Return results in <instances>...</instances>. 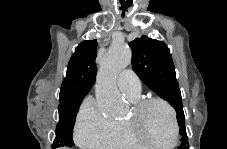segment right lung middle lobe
Segmentation results:
<instances>
[{
    "label": "right lung middle lobe",
    "mask_w": 227,
    "mask_h": 149,
    "mask_svg": "<svg viewBox=\"0 0 227 149\" xmlns=\"http://www.w3.org/2000/svg\"><path fill=\"white\" fill-rule=\"evenodd\" d=\"M83 99L59 104V123L56 127V138L53 142L54 147H72L73 142V127L75 118Z\"/></svg>",
    "instance_id": "right-lung-middle-lobe-1"
}]
</instances>
